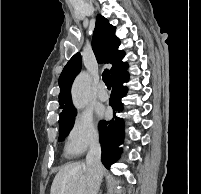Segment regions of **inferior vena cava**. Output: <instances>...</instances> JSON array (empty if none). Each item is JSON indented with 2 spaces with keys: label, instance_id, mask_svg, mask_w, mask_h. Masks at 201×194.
Masks as SVG:
<instances>
[{
  "label": "inferior vena cava",
  "instance_id": "obj_1",
  "mask_svg": "<svg viewBox=\"0 0 201 194\" xmlns=\"http://www.w3.org/2000/svg\"><path fill=\"white\" fill-rule=\"evenodd\" d=\"M88 168V185L86 194H98L103 168L101 164V146L99 141H94L86 156Z\"/></svg>",
  "mask_w": 201,
  "mask_h": 194
}]
</instances>
